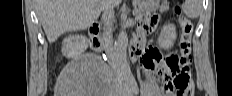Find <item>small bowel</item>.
I'll list each match as a JSON object with an SVG mask.
<instances>
[{"label":"small bowel","instance_id":"1","mask_svg":"<svg viewBox=\"0 0 232 96\" xmlns=\"http://www.w3.org/2000/svg\"><path fill=\"white\" fill-rule=\"evenodd\" d=\"M146 18L147 22L145 23V25H140V30H133V35H147V33L148 35H158V29L160 27L156 24H160L162 22V15H158L157 11H148ZM160 30L162 32H165L167 29L165 27H162ZM130 43H151V38H130ZM140 62L143 69V73L148 80L151 79L152 74L155 71L160 76H164L163 71L165 68V64L162 60V54L158 49H152L142 53ZM189 84L193 88L194 84L191 79V72L189 74ZM162 91L164 94L168 93L165 85H163Z\"/></svg>","mask_w":232,"mask_h":96}]
</instances>
